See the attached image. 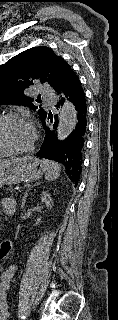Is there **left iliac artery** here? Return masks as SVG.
<instances>
[{"label": "left iliac artery", "mask_w": 118, "mask_h": 320, "mask_svg": "<svg viewBox=\"0 0 118 320\" xmlns=\"http://www.w3.org/2000/svg\"><path fill=\"white\" fill-rule=\"evenodd\" d=\"M23 320H25L26 319V317L24 316V315H22V317H21Z\"/></svg>", "instance_id": "44dca946"}]
</instances>
